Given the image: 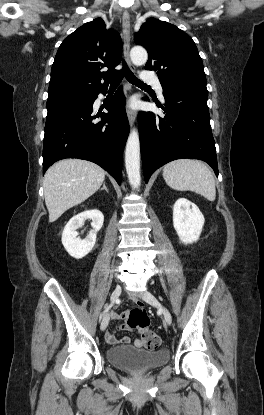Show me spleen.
<instances>
[{
  "label": "spleen",
  "mask_w": 264,
  "mask_h": 415,
  "mask_svg": "<svg viewBox=\"0 0 264 415\" xmlns=\"http://www.w3.org/2000/svg\"><path fill=\"white\" fill-rule=\"evenodd\" d=\"M163 178L168 186L179 191H194L209 201L216 197L215 181L209 168L202 162L179 159L166 164Z\"/></svg>",
  "instance_id": "obj_1"
}]
</instances>
